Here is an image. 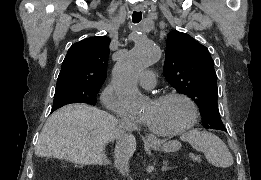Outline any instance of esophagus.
<instances>
[{
	"label": "esophagus",
	"instance_id": "obj_1",
	"mask_svg": "<svg viewBox=\"0 0 261 180\" xmlns=\"http://www.w3.org/2000/svg\"><path fill=\"white\" fill-rule=\"evenodd\" d=\"M136 10H139L140 8H135ZM148 141L153 143L156 141V138L153 135H148L147 137Z\"/></svg>",
	"mask_w": 261,
	"mask_h": 180
}]
</instances>
